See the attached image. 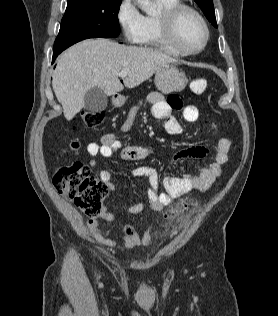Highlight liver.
I'll use <instances>...</instances> for the list:
<instances>
[{"label":"liver","mask_w":278,"mask_h":316,"mask_svg":"<svg viewBox=\"0 0 278 316\" xmlns=\"http://www.w3.org/2000/svg\"><path fill=\"white\" fill-rule=\"evenodd\" d=\"M176 60L158 50L124 46L109 39H87L65 52L57 61L52 86L63 113L71 120L84 107V96L94 87L107 96L134 88L149 79L162 66ZM126 71L123 84L119 73Z\"/></svg>","instance_id":"obj_1"}]
</instances>
